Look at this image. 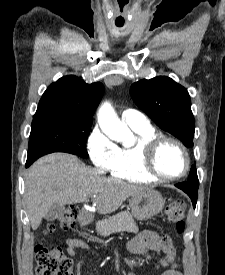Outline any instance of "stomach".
<instances>
[{"instance_id":"obj_1","label":"stomach","mask_w":225,"mask_h":275,"mask_svg":"<svg viewBox=\"0 0 225 275\" xmlns=\"http://www.w3.org/2000/svg\"><path fill=\"white\" fill-rule=\"evenodd\" d=\"M132 215L137 220H147L159 214L165 205L162 195L153 189L133 194L129 199Z\"/></svg>"}]
</instances>
